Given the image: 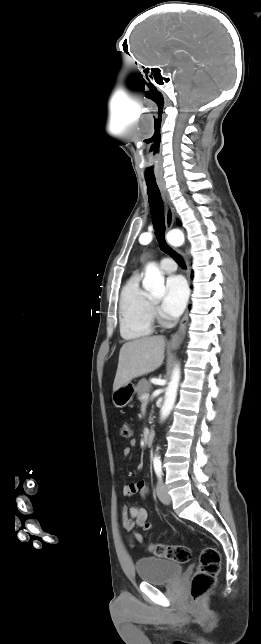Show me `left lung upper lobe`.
Here are the masks:
<instances>
[{
	"label": "left lung upper lobe",
	"instance_id": "left-lung-upper-lobe-1",
	"mask_svg": "<svg viewBox=\"0 0 261 644\" xmlns=\"http://www.w3.org/2000/svg\"><path fill=\"white\" fill-rule=\"evenodd\" d=\"M177 223L180 224L179 220H177Z\"/></svg>",
	"mask_w": 261,
	"mask_h": 644
}]
</instances>
